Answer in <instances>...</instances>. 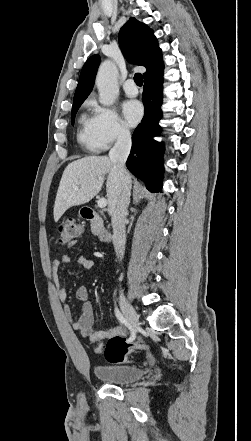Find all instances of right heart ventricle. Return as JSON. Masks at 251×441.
Here are the masks:
<instances>
[{
  "label": "right heart ventricle",
  "instance_id": "1",
  "mask_svg": "<svg viewBox=\"0 0 251 441\" xmlns=\"http://www.w3.org/2000/svg\"><path fill=\"white\" fill-rule=\"evenodd\" d=\"M78 142L87 150L97 152L101 150L92 127V119L82 114L79 119V128L77 132Z\"/></svg>",
  "mask_w": 251,
  "mask_h": 441
}]
</instances>
